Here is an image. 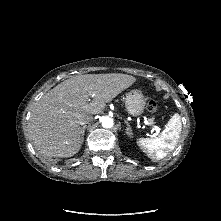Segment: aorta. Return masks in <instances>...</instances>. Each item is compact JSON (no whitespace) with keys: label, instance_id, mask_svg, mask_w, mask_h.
I'll return each mask as SVG.
<instances>
[{"label":"aorta","instance_id":"1","mask_svg":"<svg viewBox=\"0 0 221 221\" xmlns=\"http://www.w3.org/2000/svg\"><path fill=\"white\" fill-rule=\"evenodd\" d=\"M102 126L104 128H111L113 127L114 121L111 117L105 116L102 118Z\"/></svg>","mask_w":221,"mask_h":221}]
</instances>
